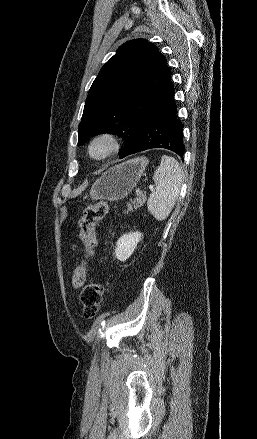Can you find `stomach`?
Returning a JSON list of instances; mask_svg holds the SVG:
<instances>
[{
  "label": "stomach",
  "instance_id": "0dacf381",
  "mask_svg": "<svg viewBox=\"0 0 257 439\" xmlns=\"http://www.w3.org/2000/svg\"><path fill=\"white\" fill-rule=\"evenodd\" d=\"M148 159L138 157L108 169L90 189L93 200L118 201L125 198L144 173Z\"/></svg>",
  "mask_w": 257,
  "mask_h": 439
}]
</instances>
